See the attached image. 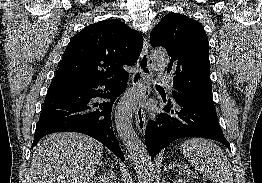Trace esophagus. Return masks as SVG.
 <instances>
[{
    "instance_id": "esophagus-1",
    "label": "esophagus",
    "mask_w": 262,
    "mask_h": 183,
    "mask_svg": "<svg viewBox=\"0 0 262 183\" xmlns=\"http://www.w3.org/2000/svg\"><path fill=\"white\" fill-rule=\"evenodd\" d=\"M151 76L150 60L148 55V43L144 39L143 49L137 62V69L132 75V84L140 86L144 83L143 93L135 112V121L138 130L143 134L146 129L145 101L150 95V88L147 86L146 78Z\"/></svg>"
}]
</instances>
